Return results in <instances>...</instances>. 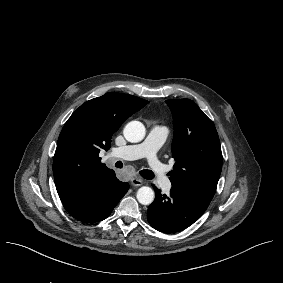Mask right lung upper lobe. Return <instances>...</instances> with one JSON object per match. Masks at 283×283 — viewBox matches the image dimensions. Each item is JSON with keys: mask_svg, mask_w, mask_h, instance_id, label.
<instances>
[{"mask_svg": "<svg viewBox=\"0 0 283 283\" xmlns=\"http://www.w3.org/2000/svg\"><path fill=\"white\" fill-rule=\"evenodd\" d=\"M147 103L111 92L85 102L71 115L53 159L54 181L62 202L81 197L111 172L101 163L100 150H108L121 124Z\"/></svg>", "mask_w": 283, "mask_h": 283, "instance_id": "obj_1", "label": "right lung upper lobe"}]
</instances>
